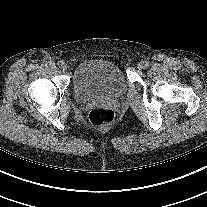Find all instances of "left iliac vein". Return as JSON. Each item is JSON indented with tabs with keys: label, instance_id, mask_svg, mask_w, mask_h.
<instances>
[{
	"label": "left iliac vein",
	"instance_id": "4c4485c4",
	"mask_svg": "<svg viewBox=\"0 0 207 207\" xmlns=\"http://www.w3.org/2000/svg\"><path fill=\"white\" fill-rule=\"evenodd\" d=\"M137 67H138V69L142 70V69L145 68V63H144V62H139V63L137 64Z\"/></svg>",
	"mask_w": 207,
	"mask_h": 207
}]
</instances>
